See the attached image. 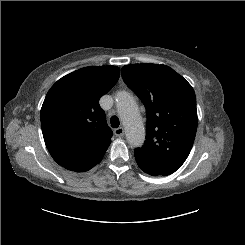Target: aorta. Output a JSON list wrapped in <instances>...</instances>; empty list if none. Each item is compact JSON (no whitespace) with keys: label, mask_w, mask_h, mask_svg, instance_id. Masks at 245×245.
<instances>
[{"label":"aorta","mask_w":245,"mask_h":245,"mask_svg":"<svg viewBox=\"0 0 245 245\" xmlns=\"http://www.w3.org/2000/svg\"><path fill=\"white\" fill-rule=\"evenodd\" d=\"M116 107L125 128L126 139L133 147H140L145 141V129L133 96L125 91L116 96Z\"/></svg>","instance_id":"1"}]
</instances>
